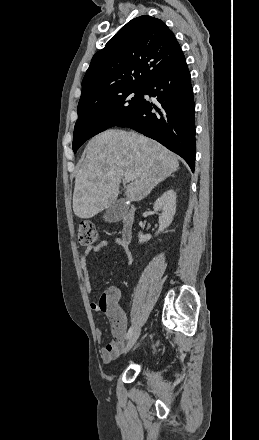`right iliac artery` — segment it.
Wrapping results in <instances>:
<instances>
[{
    "instance_id": "1",
    "label": "right iliac artery",
    "mask_w": 259,
    "mask_h": 440,
    "mask_svg": "<svg viewBox=\"0 0 259 440\" xmlns=\"http://www.w3.org/2000/svg\"><path fill=\"white\" fill-rule=\"evenodd\" d=\"M132 333H133V326H131L128 330L127 339H129L131 337Z\"/></svg>"
}]
</instances>
